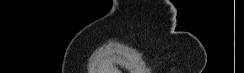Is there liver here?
<instances>
[{
    "label": "liver",
    "mask_w": 244,
    "mask_h": 73,
    "mask_svg": "<svg viewBox=\"0 0 244 73\" xmlns=\"http://www.w3.org/2000/svg\"><path fill=\"white\" fill-rule=\"evenodd\" d=\"M101 71H105L102 73H118L117 72L118 70L115 67H113V66L110 67V66L105 65V64L101 66Z\"/></svg>",
    "instance_id": "6515ba94"
}]
</instances>
